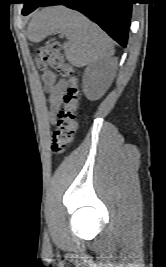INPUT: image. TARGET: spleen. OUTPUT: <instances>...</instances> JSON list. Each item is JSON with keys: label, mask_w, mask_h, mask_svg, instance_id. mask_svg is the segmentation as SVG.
<instances>
[{"label": "spleen", "mask_w": 166, "mask_h": 267, "mask_svg": "<svg viewBox=\"0 0 166 267\" xmlns=\"http://www.w3.org/2000/svg\"><path fill=\"white\" fill-rule=\"evenodd\" d=\"M28 30L35 39L57 33L65 35L66 57L78 67L108 59L114 53L106 33L81 13L64 6L46 7L37 12Z\"/></svg>", "instance_id": "spleen-1"}]
</instances>
